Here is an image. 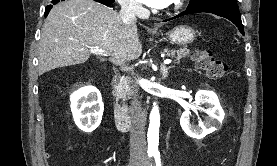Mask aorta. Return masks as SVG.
<instances>
[{
    "mask_svg": "<svg viewBox=\"0 0 277 166\" xmlns=\"http://www.w3.org/2000/svg\"><path fill=\"white\" fill-rule=\"evenodd\" d=\"M159 127H160V115L159 109L156 103H154L152 111L150 113V124L148 129V146L149 150L156 151L159 144Z\"/></svg>",
    "mask_w": 277,
    "mask_h": 166,
    "instance_id": "762f6f07",
    "label": "aorta"
}]
</instances>
